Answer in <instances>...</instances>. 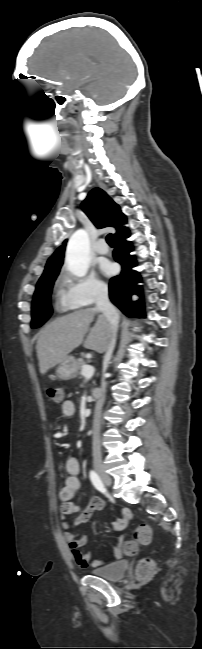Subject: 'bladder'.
<instances>
[{"mask_svg": "<svg viewBox=\"0 0 202 649\" xmlns=\"http://www.w3.org/2000/svg\"><path fill=\"white\" fill-rule=\"evenodd\" d=\"M129 563L127 560H120L92 570V574L105 580H118L127 571Z\"/></svg>", "mask_w": 202, "mask_h": 649, "instance_id": "1", "label": "bladder"}]
</instances>
